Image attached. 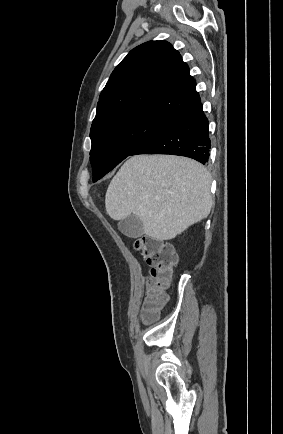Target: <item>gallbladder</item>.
<instances>
[{"mask_svg":"<svg viewBox=\"0 0 283 434\" xmlns=\"http://www.w3.org/2000/svg\"><path fill=\"white\" fill-rule=\"evenodd\" d=\"M119 230L130 238H138L144 234L142 221L135 215H130L118 223Z\"/></svg>","mask_w":283,"mask_h":434,"instance_id":"1","label":"gallbladder"}]
</instances>
